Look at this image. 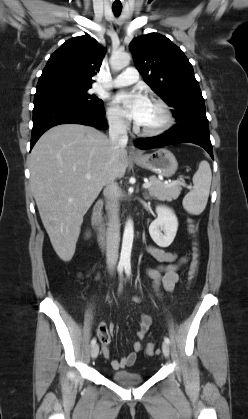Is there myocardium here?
<instances>
[{
    "instance_id": "f54148a6",
    "label": "myocardium",
    "mask_w": 248,
    "mask_h": 419,
    "mask_svg": "<svg viewBox=\"0 0 248 419\" xmlns=\"http://www.w3.org/2000/svg\"><path fill=\"white\" fill-rule=\"evenodd\" d=\"M151 103L156 105L161 110L163 114V121L161 122L160 125L153 128H143L140 125H137L135 127L136 131L139 134L143 136H149V137L158 136L165 133L167 130H169L172 127L174 123L173 112L165 101L159 98H152Z\"/></svg>"
}]
</instances>
